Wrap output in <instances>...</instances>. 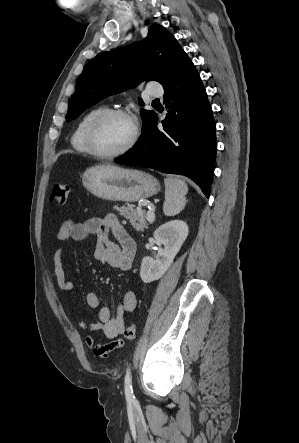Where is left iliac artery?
Segmentation results:
<instances>
[{
    "mask_svg": "<svg viewBox=\"0 0 299 443\" xmlns=\"http://www.w3.org/2000/svg\"><path fill=\"white\" fill-rule=\"evenodd\" d=\"M125 396L127 400L133 401L135 396L132 388V375L130 369H127L125 375Z\"/></svg>",
    "mask_w": 299,
    "mask_h": 443,
    "instance_id": "obj_1",
    "label": "left iliac artery"
}]
</instances>
